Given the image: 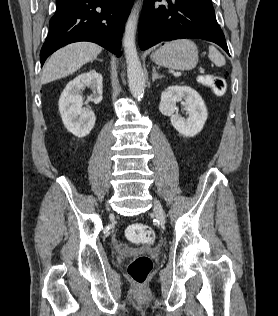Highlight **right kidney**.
<instances>
[{
    "instance_id": "obj_1",
    "label": "right kidney",
    "mask_w": 278,
    "mask_h": 316,
    "mask_svg": "<svg viewBox=\"0 0 278 316\" xmlns=\"http://www.w3.org/2000/svg\"><path fill=\"white\" fill-rule=\"evenodd\" d=\"M103 77L95 70L82 73L70 81L59 99V111L65 128L75 136L82 138L93 129L96 121L90 107L83 108L81 92L85 87L92 90L89 97L94 103L102 101Z\"/></svg>"
}]
</instances>
